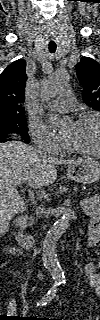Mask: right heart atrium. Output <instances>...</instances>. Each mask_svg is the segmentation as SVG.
Returning <instances> with one entry per match:
<instances>
[{"instance_id":"d8ad5b80","label":"right heart atrium","mask_w":100,"mask_h":320,"mask_svg":"<svg viewBox=\"0 0 100 320\" xmlns=\"http://www.w3.org/2000/svg\"><path fill=\"white\" fill-rule=\"evenodd\" d=\"M29 132L34 144L44 151L57 153L63 147L64 141L42 123L31 122Z\"/></svg>"}]
</instances>
